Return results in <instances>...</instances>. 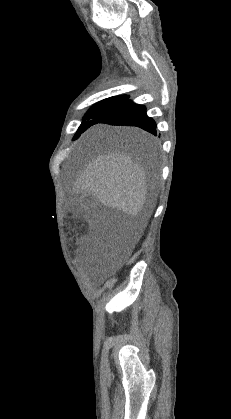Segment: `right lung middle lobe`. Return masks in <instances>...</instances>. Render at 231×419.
<instances>
[{"label":"right lung middle lobe","instance_id":"dd1d6c3e","mask_svg":"<svg viewBox=\"0 0 231 419\" xmlns=\"http://www.w3.org/2000/svg\"><path fill=\"white\" fill-rule=\"evenodd\" d=\"M129 99L128 95H121V96H114L107 99H104L94 106H92L86 115L83 118V122L81 123L79 129L77 130L74 139H77L84 131H86L90 126L94 125L97 119L108 112L109 110L113 109L114 107L124 103ZM126 140V139H125ZM130 140V139H129ZM133 146L145 147L151 145L150 143L141 141L135 142L130 140Z\"/></svg>","mask_w":231,"mask_h":419}]
</instances>
